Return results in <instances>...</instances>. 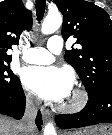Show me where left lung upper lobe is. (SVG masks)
<instances>
[{"instance_id": "1", "label": "left lung upper lobe", "mask_w": 112, "mask_h": 135, "mask_svg": "<svg viewBox=\"0 0 112 135\" xmlns=\"http://www.w3.org/2000/svg\"><path fill=\"white\" fill-rule=\"evenodd\" d=\"M64 17L62 36L77 38L79 49L65 52L89 96L112 87V21L105 10L84 0H55Z\"/></svg>"}]
</instances>
